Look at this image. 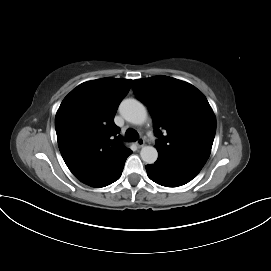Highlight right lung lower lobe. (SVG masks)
Segmentation results:
<instances>
[{"label":"right lung lower lobe","mask_w":271,"mask_h":271,"mask_svg":"<svg viewBox=\"0 0 271 271\" xmlns=\"http://www.w3.org/2000/svg\"><path fill=\"white\" fill-rule=\"evenodd\" d=\"M125 161H126V159L113 172H111V174L108 175L105 179H103L102 181H100L96 184L90 185V186H92V187H105L107 185L112 184L116 180H118L120 178L122 170L124 168Z\"/></svg>","instance_id":"98d812e1"}]
</instances>
